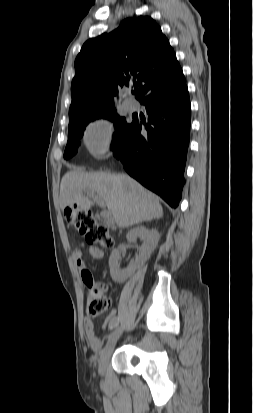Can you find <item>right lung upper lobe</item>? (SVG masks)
Returning <instances> with one entry per match:
<instances>
[{"label": "right lung upper lobe", "instance_id": "cb5924a9", "mask_svg": "<svg viewBox=\"0 0 253 413\" xmlns=\"http://www.w3.org/2000/svg\"><path fill=\"white\" fill-rule=\"evenodd\" d=\"M130 83L139 87L140 103L186 86L168 39L149 16L128 18L113 32L84 43L75 60L69 121L114 106L113 96Z\"/></svg>", "mask_w": 253, "mask_h": 413}]
</instances>
